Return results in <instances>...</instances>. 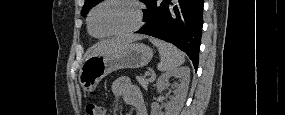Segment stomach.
I'll return each instance as SVG.
<instances>
[{"label":"stomach","mask_w":285,"mask_h":115,"mask_svg":"<svg viewBox=\"0 0 285 115\" xmlns=\"http://www.w3.org/2000/svg\"><path fill=\"white\" fill-rule=\"evenodd\" d=\"M153 57L150 47L142 43H129L109 54L91 56L85 60L79 71V83L84 91L93 92L98 83L113 71L124 68H141Z\"/></svg>","instance_id":"0dacf381"}]
</instances>
